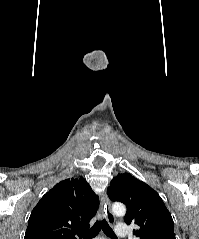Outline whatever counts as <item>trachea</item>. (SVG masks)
<instances>
[{
  "mask_svg": "<svg viewBox=\"0 0 199 239\" xmlns=\"http://www.w3.org/2000/svg\"><path fill=\"white\" fill-rule=\"evenodd\" d=\"M101 229L106 235L116 239L115 233L105 219L97 221L89 230L80 232V235L84 239H93L101 231Z\"/></svg>",
  "mask_w": 199,
  "mask_h": 239,
  "instance_id": "3493384b",
  "label": "trachea"
}]
</instances>
